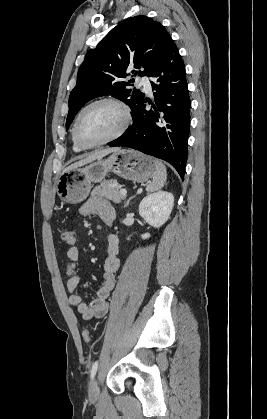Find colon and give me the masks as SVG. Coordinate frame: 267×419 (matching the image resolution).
<instances>
[{"label":"colon","mask_w":267,"mask_h":419,"mask_svg":"<svg viewBox=\"0 0 267 419\" xmlns=\"http://www.w3.org/2000/svg\"><path fill=\"white\" fill-rule=\"evenodd\" d=\"M61 239L65 244L69 246H72L76 243V235L71 230H64L61 234ZM82 336L85 342H89L92 338L90 331L87 329L83 331Z\"/></svg>","instance_id":"obj_1"}]
</instances>
